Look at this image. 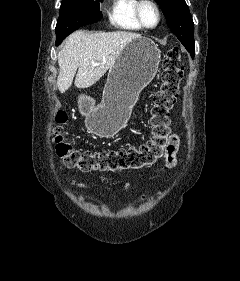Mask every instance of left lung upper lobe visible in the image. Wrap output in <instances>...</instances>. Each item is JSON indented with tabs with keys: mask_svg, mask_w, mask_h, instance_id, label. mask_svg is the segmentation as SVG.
<instances>
[{
	"mask_svg": "<svg viewBox=\"0 0 240 281\" xmlns=\"http://www.w3.org/2000/svg\"><path fill=\"white\" fill-rule=\"evenodd\" d=\"M162 9L168 26L185 46L191 57L195 55L194 23L185 0H155Z\"/></svg>",
	"mask_w": 240,
	"mask_h": 281,
	"instance_id": "left-lung-upper-lobe-1",
	"label": "left lung upper lobe"
}]
</instances>
